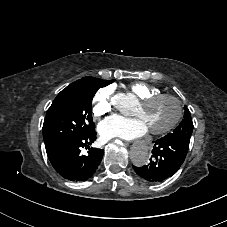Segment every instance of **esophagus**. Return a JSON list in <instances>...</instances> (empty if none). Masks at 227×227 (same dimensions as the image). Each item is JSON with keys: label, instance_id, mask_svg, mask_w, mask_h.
Here are the masks:
<instances>
[{"label": "esophagus", "instance_id": "obj_1", "mask_svg": "<svg viewBox=\"0 0 227 227\" xmlns=\"http://www.w3.org/2000/svg\"><path fill=\"white\" fill-rule=\"evenodd\" d=\"M152 145H153V142H152V140H151L150 137H148L147 140H145V141L142 142V146H143L144 148H146V149L151 148Z\"/></svg>", "mask_w": 227, "mask_h": 227}]
</instances>
